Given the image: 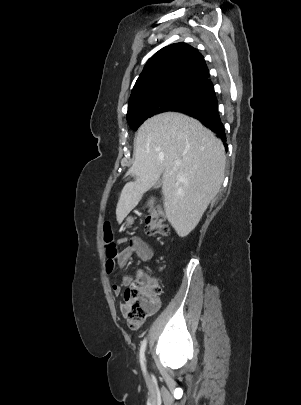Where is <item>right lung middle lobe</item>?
<instances>
[{
  "label": "right lung middle lobe",
  "instance_id": "obj_1",
  "mask_svg": "<svg viewBox=\"0 0 301 405\" xmlns=\"http://www.w3.org/2000/svg\"><path fill=\"white\" fill-rule=\"evenodd\" d=\"M213 99L212 94L192 88L168 89L138 100L128 110L127 121L129 126L136 130L146 119L156 114L207 104Z\"/></svg>",
  "mask_w": 301,
  "mask_h": 405
}]
</instances>
